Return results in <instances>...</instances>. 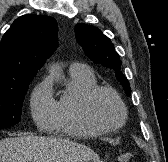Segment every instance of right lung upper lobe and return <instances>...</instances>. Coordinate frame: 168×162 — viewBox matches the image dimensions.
Segmentation results:
<instances>
[{
  "mask_svg": "<svg viewBox=\"0 0 168 162\" xmlns=\"http://www.w3.org/2000/svg\"><path fill=\"white\" fill-rule=\"evenodd\" d=\"M57 22L45 15H23L0 43V86L33 79L57 45Z\"/></svg>",
  "mask_w": 168,
  "mask_h": 162,
  "instance_id": "obj_1",
  "label": "right lung upper lobe"
}]
</instances>
